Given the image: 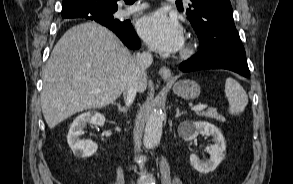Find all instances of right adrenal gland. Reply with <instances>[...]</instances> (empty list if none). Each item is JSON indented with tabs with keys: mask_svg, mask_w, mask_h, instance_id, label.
I'll use <instances>...</instances> for the list:
<instances>
[{
	"mask_svg": "<svg viewBox=\"0 0 293 184\" xmlns=\"http://www.w3.org/2000/svg\"><path fill=\"white\" fill-rule=\"evenodd\" d=\"M114 105L117 106L118 111H119L120 113H126V112H127V108L124 107V106H121L120 103H115Z\"/></svg>",
	"mask_w": 293,
	"mask_h": 184,
	"instance_id": "right-adrenal-gland-1",
	"label": "right adrenal gland"
}]
</instances>
